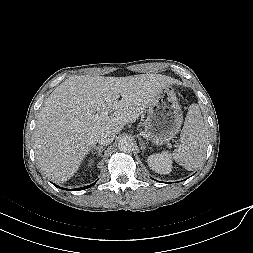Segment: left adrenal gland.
<instances>
[{"mask_svg": "<svg viewBox=\"0 0 253 253\" xmlns=\"http://www.w3.org/2000/svg\"><path fill=\"white\" fill-rule=\"evenodd\" d=\"M139 140L141 142V150H144L146 148V143L139 137Z\"/></svg>", "mask_w": 253, "mask_h": 253, "instance_id": "left-adrenal-gland-1", "label": "left adrenal gland"}]
</instances>
